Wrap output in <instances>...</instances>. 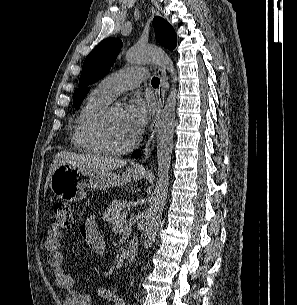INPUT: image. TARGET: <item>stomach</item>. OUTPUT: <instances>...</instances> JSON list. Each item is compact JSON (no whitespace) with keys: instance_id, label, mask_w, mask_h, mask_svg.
Instances as JSON below:
<instances>
[{"instance_id":"obj_1","label":"stomach","mask_w":297,"mask_h":305,"mask_svg":"<svg viewBox=\"0 0 297 305\" xmlns=\"http://www.w3.org/2000/svg\"><path fill=\"white\" fill-rule=\"evenodd\" d=\"M144 174L143 170L134 167L127 168L120 175L112 171L60 164L51 175L49 186L59 199L77 202L86 197L85 188L106 190L140 180Z\"/></svg>"}]
</instances>
